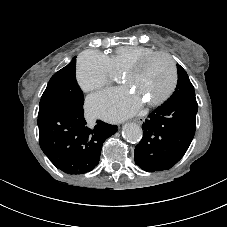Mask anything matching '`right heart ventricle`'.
I'll use <instances>...</instances> for the list:
<instances>
[{"instance_id": "obj_1", "label": "right heart ventricle", "mask_w": 227, "mask_h": 227, "mask_svg": "<svg viewBox=\"0 0 227 227\" xmlns=\"http://www.w3.org/2000/svg\"><path fill=\"white\" fill-rule=\"evenodd\" d=\"M156 52L153 48L144 46H121L108 55L114 71L125 72L128 67L142 57Z\"/></svg>"}]
</instances>
